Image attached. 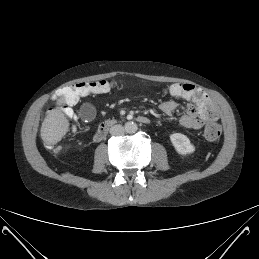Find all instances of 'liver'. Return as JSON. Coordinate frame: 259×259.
Listing matches in <instances>:
<instances>
[{
  "label": "liver",
  "mask_w": 259,
  "mask_h": 259,
  "mask_svg": "<svg viewBox=\"0 0 259 259\" xmlns=\"http://www.w3.org/2000/svg\"><path fill=\"white\" fill-rule=\"evenodd\" d=\"M64 99L57 100V107L52 109L44 119L41 126V138L47 145H54L69 131V121L63 113Z\"/></svg>",
  "instance_id": "obj_1"
}]
</instances>
